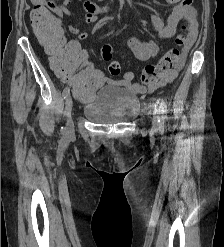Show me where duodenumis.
I'll use <instances>...</instances> for the list:
<instances>
[{
	"mask_svg": "<svg viewBox=\"0 0 224 247\" xmlns=\"http://www.w3.org/2000/svg\"><path fill=\"white\" fill-rule=\"evenodd\" d=\"M88 8L93 11H100V12H105L109 11L111 9L110 5H94V4H89Z\"/></svg>",
	"mask_w": 224,
	"mask_h": 247,
	"instance_id": "obj_1",
	"label": "duodenum"
}]
</instances>
